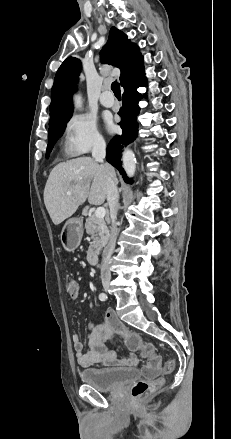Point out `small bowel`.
<instances>
[{"label": "small bowel", "mask_w": 231, "mask_h": 439, "mask_svg": "<svg viewBox=\"0 0 231 439\" xmlns=\"http://www.w3.org/2000/svg\"><path fill=\"white\" fill-rule=\"evenodd\" d=\"M89 329V350H84L81 336L78 332L72 335L73 348L77 362L81 367L87 368L93 365L102 366H137L139 360L135 353L127 358H119L118 355L107 347V342L114 335L124 336L128 330L113 312L105 315V322L102 324L88 325Z\"/></svg>", "instance_id": "small-bowel-1"}]
</instances>
